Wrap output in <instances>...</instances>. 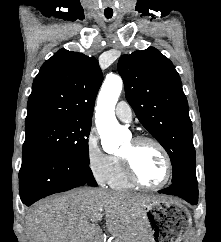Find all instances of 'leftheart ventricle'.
Wrapping results in <instances>:
<instances>
[{"label": "left heart ventricle", "instance_id": "left-heart-ventricle-1", "mask_svg": "<svg viewBox=\"0 0 221 242\" xmlns=\"http://www.w3.org/2000/svg\"><path fill=\"white\" fill-rule=\"evenodd\" d=\"M132 154L134 168L139 177L149 185L160 183L166 172L165 159L159 149L150 143L135 146L130 140L121 154Z\"/></svg>", "mask_w": 221, "mask_h": 242}]
</instances>
